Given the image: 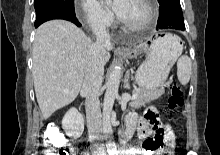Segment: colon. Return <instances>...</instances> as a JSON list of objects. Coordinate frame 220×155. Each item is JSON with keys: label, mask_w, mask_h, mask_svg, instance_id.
<instances>
[{"label": "colon", "mask_w": 220, "mask_h": 155, "mask_svg": "<svg viewBox=\"0 0 220 155\" xmlns=\"http://www.w3.org/2000/svg\"><path fill=\"white\" fill-rule=\"evenodd\" d=\"M168 109L172 113L181 108L184 104V93L178 83L172 84L168 97ZM48 143H43L42 147L46 149L45 155H68L65 148H68V143L60 142V134L57 131L51 130L47 134ZM173 147V139L168 137L160 127H156L155 136L148 142L147 149L158 155H171Z\"/></svg>", "instance_id": "5ec220e1"}]
</instances>
